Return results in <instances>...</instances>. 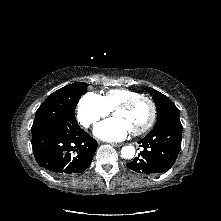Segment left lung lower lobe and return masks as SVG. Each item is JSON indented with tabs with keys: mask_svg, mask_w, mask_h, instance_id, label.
<instances>
[{
	"mask_svg": "<svg viewBox=\"0 0 221 221\" xmlns=\"http://www.w3.org/2000/svg\"><path fill=\"white\" fill-rule=\"evenodd\" d=\"M182 124L168 122L154 127L138 143L143 147L127 167L135 172L158 174L168 171L175 163L181 148Z\"/></svg>",
	"mask_w": 221,
	"mask_h": 221,
	"instance_id": "left-lung-lower-lobe-1",
	"label": "left lung lower lobe"
}]
</instances>
